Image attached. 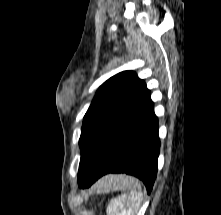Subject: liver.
Returning a JSON list of instances; mask_svg holds the SVG:
<instances>
[{
    "instance_id": "obj_1",
    "label": "liver",
    "mask_w": 221,
    "mask_h": 215,
    "mask_svg": "<svg viewBox=\"0 0 221 215\" xmlns=\"http://www.w3.org/2000/svg\"><path fill=\"white\" fill-rule=\"evenodd\" d=\"M108 179H109V177L104 178V179L101 181V183H102V184H103V183H106V182L108 181Z\"/></svg>"
}]
</instances>
